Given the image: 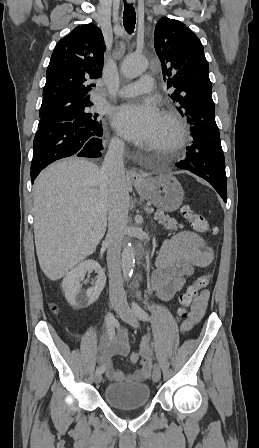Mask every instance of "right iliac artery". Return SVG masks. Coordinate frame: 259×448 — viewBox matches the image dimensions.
<instances>
[{"mask_svg": "<svg viewBox=\"0 0 259 448\" xmlns=\"http://www.w3.org/2000/svg\"><path fill=\"white\" fill-rule=\"evenodd\" d=\"M116 318L112 313H108L106 316V327H107V333L110 338H114L115 336V325H116ZM105 371L104 366H99L96 369V373L102 374Z\"/></svg>", "mask_w": 259, "mask_h": 448, "instance_id": "82829eb1", "label": "right iliac artery"}]
</instances>
